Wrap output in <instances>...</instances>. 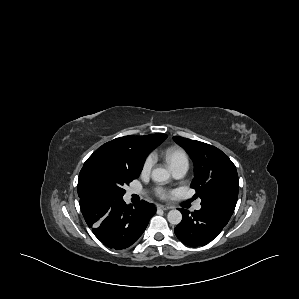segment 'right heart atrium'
Returning a JSON list of instances; mask_svg holds the SVG:
<instances>
[{"instance_id": "1", "label": "right heart atrium", "mask_w": 299, "mask_h": 299, "mask_svg": "<svg viewBox=\"0 0 299 299\" xmlns=\"http://www.w3.org/2000/svg\"><path fill=\"white\" fill-rule=\"evenodd\" d=\"M154 165V157L152 155H149L142 166V173L143 174H149L153 168Z\"/></svg>"}]
</instances>
